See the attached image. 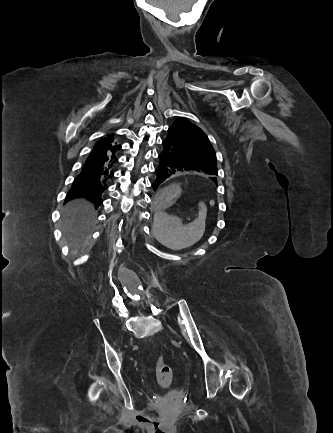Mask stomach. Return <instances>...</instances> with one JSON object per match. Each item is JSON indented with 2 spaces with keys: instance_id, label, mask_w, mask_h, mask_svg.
I'll return each mask as SVG.
<instances>
[{
  "instance_id": "0dacf381",
  "label": "stomach",
  "mask_w": 333,
  "mask_h": 433,
  "mask_svg": "<svg viewBox=\"0 0 333 433\" xmlns=\"http://www.w3.org/2000/svg\"><path fill=\"white\" fill-rule=\"evenodd\" d=\"M181 189L178 185H173L172 183H167L162 186L161 190L158 192V199L154 201V210H169L171 204L175 202L176 199H180Z\"/></svg>"
}]
</instances>
